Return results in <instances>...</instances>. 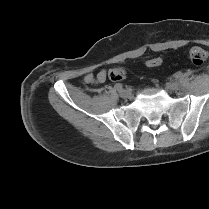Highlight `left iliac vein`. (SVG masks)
Segmentation results:
<instances>
[{
	"label": "left iliac vein",
	"instance_id": "obj_1",
	"mask_svg": "<svg viewBox=\"0 0 209 209\" xmlns=\"http://www.w3.org/2000/svg\"><path fill=\"white\" fill-rule=\"evenodd\" d=\"M167 89L177 91L179 89V84L177 82H169L167 83Z\"/></svg>",
	"mask_w": 209,
	"mask_h": 209
}]
</instances>
